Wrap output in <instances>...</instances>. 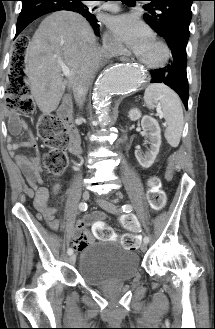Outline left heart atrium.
<instances>
[{
	"instance_id": "39dd6f15",
	"label": "left heart atrium",
	"mask_w": 215,
	"mask_h": 329,
	"mask_svg": "<svg viewBox=\"0 0 215 329\" xmlns=\"http://www.w3.org/2000/svg\"><path fill=\"white\" fill-rule=\"evenodd\" d=\"M109 27L119 42L130 47L137 54L153 42L151 30L133 15L125 14L111 18Z\"/></svg>"
}]
</instances>
